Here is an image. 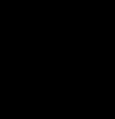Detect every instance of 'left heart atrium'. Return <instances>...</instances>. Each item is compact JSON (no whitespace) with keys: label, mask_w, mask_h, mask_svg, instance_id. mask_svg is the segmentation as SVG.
<instances>
[{"label":"left heart atrium","mask_w":115,"mask_h":119,"mask_svg":"<svg viewBox=\"0 0 115 119\" xmlns=\"http://www.w3.org/2000/svg\"><path fill=\"white\" fill-rule=\"evenodd\" d=\"M79 54H80V51H79V50H75V51H73V52L70 54V57H71V58H76Z\"/></svg>","instance_id":"left-heart-atrium-1"}]
</instances>
